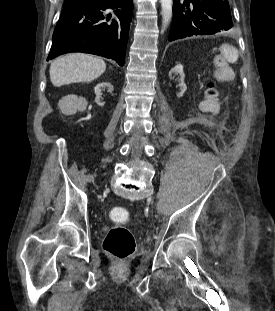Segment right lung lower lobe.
Here are the masks:
<instances>
[{
  "label": "right lung lower lobe",
  "instance_id": "98d812e1",
  "mask_svg": "<svg viewBox=\"0 0 275 311\" xmlns=\"http://www.w3.org/2000/svg\"><path fill=\"white\" fill-rule=\"evenodd\" d=\"M132 13L133 0H81L64 5L47 60L85 52L123 66Z\"/></svg>",
  "mask_w": 275,
  "mask_h": 311
}]
</instances>
